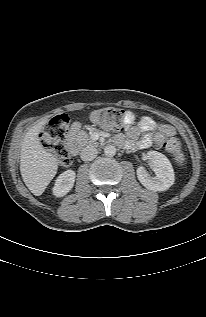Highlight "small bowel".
<instances>
[{
    "mask_svg": "<svg viewBox=\"0 0 206 317\" xmlns=\"http://www.w3.org/2000/svg\"><path fill=\"white\" fill-rule=\"evenodd\" d=\"M135 121L136 116L132 112L125 113L126 144L131 148L145 149L153 144L160 145L166 137L174 134V128L170 124L158 123L150 117H142L137 124ZM117 139L121 141L122 137L118 136Z\"/></svg>",
    "mask_w": 206,
    "mask_h": 317,
    "instance_id": "small-bowel-1",
    "label": "small bowel"
}]
</instances>
